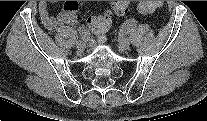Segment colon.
<instances>
[{
	"label": "colon",
	"mask_w": 207,
	"mask_h": 121,
	"mask_svg": "<svg viewBox=\"0 0 207 121\" xmlns=\"http://www.w3.org/2000/svg\"><path fill=\"white\" fill-rule=\"evenodd\" d=\"M161 1H141L136 4V9L141 14H151L162 6ZM113 12L123 16L128 12V5L124 1H115L112 5ZM89 27L99 40H104L111 25V15L108 12L96 14L89 19Z\"/></svg>",
	"instance_id": "1"
}]
</instances>
